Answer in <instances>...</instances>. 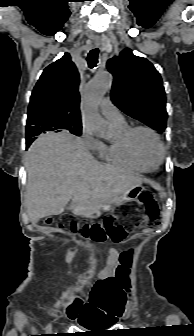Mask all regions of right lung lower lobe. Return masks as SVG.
I'll return each instance as SVG.
<instances>
[{
	"label": "right lung lower lobe",
	"mask_w": 194,
	"mask_h": 336,
	"mask_svg": "<svg viewBox=\"0 0 194 336\" xmlns=\"http://www.w3.org/2000/svg\"><path fill=\"white\" fill-rule=\"evenodd\" d=\"M30 143H27V148L29 147Z\"/></svg>",
	"instance_id": "98d812e1"
}]
</instances>
